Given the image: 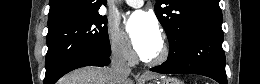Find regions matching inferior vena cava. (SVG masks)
I'll return each instance as SVG.
<instances>
[{"label": "inferior vena cava", "instance_id": "1", "mask_svg": "<svg viewBox=\"0 0 260 84\" xmlns=\"http://www.w3.org/2000/svg\"><path fill=\"white\" fill-rule=\"evenodd\" d=\"M111 70L116 75L124 78H127L131 73L124 49L117 50L113 53L111 59Z\"/></svg>", "mask_w": 260, "mask_h": 84}]
</instances>
